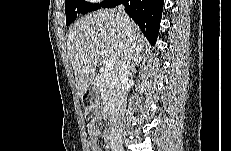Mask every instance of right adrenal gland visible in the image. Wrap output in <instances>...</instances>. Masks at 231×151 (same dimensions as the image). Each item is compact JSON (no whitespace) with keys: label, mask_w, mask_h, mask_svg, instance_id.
Listing matches in <instances>:
<instances>
[{"label":"right adrenal gland","mask_w":231,"mask_h":151,"mask_svg":"<svg viewBox=\"0 0 231 151\" xmlns=\"http://www.w3.org/2000/svg\"><path fill=\"white\" fill-rule=\"evenodd\" d=\"M142 61H143V58H142V57H138V58L136 59V61H135L134 64L132 65L131 73H135V72H136V66L141 65V64H144Z\"/></svg>","instance_id":"2a0ac1e0"}]
</instances>
